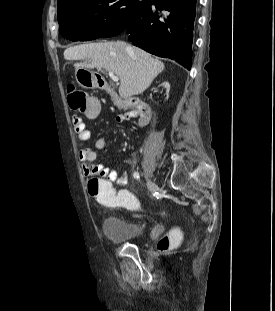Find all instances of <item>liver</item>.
<instances>
[{
    "label": "liver",
    "instance_id": "6515ba94",
    "mask_svg": "<svg viewBox=\"0 0 275 311\" xmlns=\"http://www.w3.org/2000/svg\"><path fill=\"white\" fill-rule=\"evenodd\" d=\"M66 60H82L75 68L105 69L120 79L119 94L123 99L143 93L164 70V63L144 50L127 43H88L69 47Z\"/></svg>",
    "mask_w": 275,
    "mask_h": 311
}]
</instances>
